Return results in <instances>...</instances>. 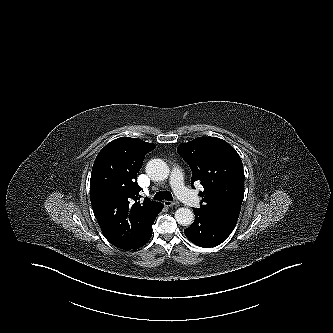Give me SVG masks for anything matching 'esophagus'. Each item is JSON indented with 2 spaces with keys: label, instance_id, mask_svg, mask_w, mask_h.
<instances>
[{
  "label": "esophagus",
  "instance_id": "34e87169",
  "mask_svg": "<svg viewBox=\"0 0 333 333\" xmlns=\"http://www.w3.org/2000/svg\"><path fill=\"white\" fill-rule=\"evenodd\" d=\"M176 205H177V202H175V201H168V200L164 201V206H166V207H172V206H176Z\"/></svg>",
  "mask_w": 333,
  "mask_h": 333
}]
</instances>
